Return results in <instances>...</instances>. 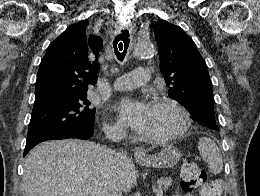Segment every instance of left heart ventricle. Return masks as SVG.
Returning a JSON list of instances; mask_svg holds the SVG:
<instances>
[{
  "label": "left heart ventricle",
  "mask_w": 260,
  "mask_h": 196,
  "mask_svg": "<svg viewBox=\"0 0 260 196\" xmlns=\"http://www.w3.org/2000/svg\"><path fill=\"white\" fill-rule=\"evenodd\" d=\"M180 118L169 106L151 104V115L146 132L157 135L174 129L178 126Z\"/></svg>",
  "instance_id": "1"
}]
</instances>
